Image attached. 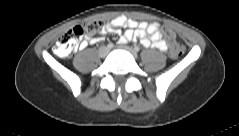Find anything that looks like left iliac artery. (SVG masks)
Segmentation results:
<instances>
[{"label":"left iliac artery","mask_w":239,"mask_h":136,"mask_svg":"<svg viewBox=\"0 0 239 136\" xmlns=\"http://www.w3.org/2000/svg\"><path fill=\"white\" fill-rule=\"evenodd\" d=\"M134 50H135L136 52H138V51L140 50V48H139L138 46H135V47H134Z\"/></svg>","instance_id":"44dca946"}]
</instances>
